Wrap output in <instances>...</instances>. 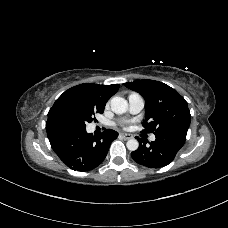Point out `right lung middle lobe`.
Segmentation results:
<instances>
[{
  "label": "right lung middle lobe",
  "mask_w": 228,
  "mask_h": 228,
  "mask_svg": "<svg viewBox=\"0 0 228 228\" xmlns=\"http://www.w3.org/2000/svg\"><path fill=\"white\" fill-rule=\"evenodd\" d=\"M103 112L104 108L95 107L76 97H66L56 100L48 112L47 123L84 130L87 123L95 120L96 113Z\"/></svg>",
  "instance_id": "dd1d6c3e"
}]
</instances>
